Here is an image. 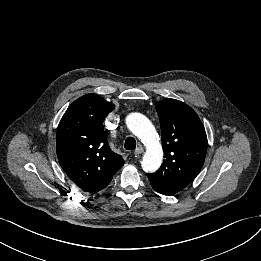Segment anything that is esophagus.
Listing matches in <instances>:
<instances>
[{
	"label": "esophagus",
	"mask_w": 261,
	"mask_h": 261,
	"mask_svg": "<svg viewBox=\"0 0 261 261\" xmlns=\"http://www.w3.org/2000/svg\"><path fill=\"white\" fill-rule=\"evenodd\" d=\"M143 151H144V149L141 146H139L135 149L134 154L140 155Z\"/></svg>",
	"instance_id": "34e87169"
}]
</instances>
